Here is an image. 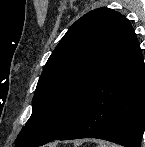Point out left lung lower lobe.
I'll return each instance as SVG.
<instances>
[{
  "mask_svg": "<svg viewBox=\"0 0 145 147\" xmlns=\"http://www.w3.org/2000/svg\"><path fill=\"white\" fill-rule=\"evenodd\" d=\"M144 114L145 64L136 34L126 19L75 119L55 139L98 138L140 147Z\"/></svg>",
  "mask_w": 145,
  "mask_h": 147,
  "instance_id": "left-lung-lower-lobe-1",
  "label": "left lung lower lobe"
}]
</instances>
